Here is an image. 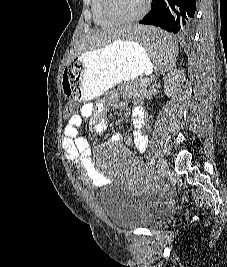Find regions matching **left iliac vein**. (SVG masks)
<instances>
[{
    "label": "left iliac vein",
    "mask_w": 227,
    "mask_h": 267,
    "mask_svg": "<svg viewBox=\"0 0 227 267\" xmlns=\"http://www.w3.org/2000/svg\"><path fill=\"white\" fill-rule=\"evenodd\" d=\"M157 170L160 178H164L169 170L167 161L161 157L157 162Z\"/></svg>",
    "instance_id": "obj_1"
}]
</instances>
